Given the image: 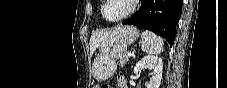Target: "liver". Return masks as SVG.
<instances>
[{
  "mask_svg": "<svg viewBox=\"0 0 227 88\" xmlns=\"http://www.w3.org/2000/svg\"><path fill=\"white\" fill-rule=\"evenodd\" d=\"M111 32L110 31H102L93 34L90 38V53L93 54L94 51L98 48L101 41L107 37Z\"/></svg>",
  "mask_w": 227,
  "mask_h": 88,
  "instance_id": "obj_1",
  "label": "liver"
}]
</instances>
